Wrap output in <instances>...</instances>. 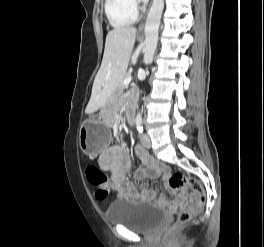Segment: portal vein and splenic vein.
<instances>
[{"mask_svg": "<svg viewBox=\"0 0 264 247\" xmlns=\"http://www.w3.org/2000/svg\"><path fill=\"white\" fill-rule=\"evenodd\" d=\"M132 80L131 76H127L124 80H123V85H128Z\"/></svg>", "mask_w": 264, "mask_h": 247, "instance_id": "1", "label": "portal vein and splenic vein"}]
</instances>
